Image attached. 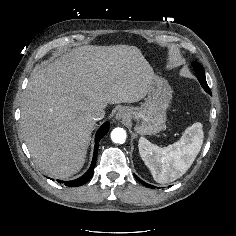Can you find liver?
Returning <instances> with one entry per match:
<instances>
[{
    "label": "liver",
    "instance_id": "6515ba94",
    "mask_svg": "<svg viewBox=\"0 0 236 236\" xmlns=\"http://www.w3.org/2000/svg\"><path fill=\"white\" fill-rule=\"evenodd\" d=\"M154 72L135 46L86 45L34 71L21 107L28 150L47 175L65 179L84 165L93 108L145 97Z\"/></svg>",
    "mask_w": 236,
    "mask_h": 236
}]
</instances>
